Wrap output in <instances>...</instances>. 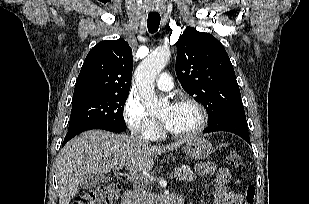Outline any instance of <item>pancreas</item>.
<instances>
[{
	"label": "pancreas",
	"instance_id": "pancreas-1",
	"mask_svg": "<svg viewBox=\"0 0 309 204\" xmlns=\"http://www.w3.org/2000/svg\"><path fill=\"white\" fill-rule=\"evenodd\" d=\"M174 177L179 181L184 182H192L194 179H196V176L190 169V167H186L185 169L177 168L174 171Z\"/></svg>",
	"mask_w": 309,
	"mask_h": 204
}]
</instances>
